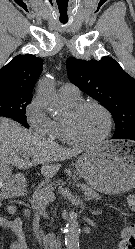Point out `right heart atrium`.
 Wrapping results in <instances>:
<instances>
[{"label": "right heart atrium", "instance_id": "1", "mask_svg": "<svg viewBox=\"0 0 135 249\" xmlns=\"http://www.w3.org/2000/svg\"><path fill=\"white\" fill-rule=\"evenodd\" d=\"M25 117L33 131L43 136H51L53 121L47 115L40 96H35L27 105Z\"/></svg>", "mask_w": 135, "mask_h": 249}]
</instances>
